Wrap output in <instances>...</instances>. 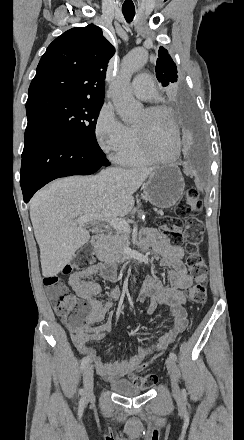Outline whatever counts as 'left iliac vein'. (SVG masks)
<instances>
[{"mask_svg": "<svg viewBox=\"0 0 244 440\" xmlns=\"http://www.w3.org/2000/svg\"><path fill=\"white\" fill-rule=\"evenodd\" d=\"M166 366H167L168 373L171 377L173 396L176 399L181 400L182 393H181V390L178 386V367H177V364L173 359L167 358L166 359Z\"/></svg>", "mask_w": 244, "mask_h": 440, "instance_id": "1", "label": "left iliac vein"}]
</instances>
